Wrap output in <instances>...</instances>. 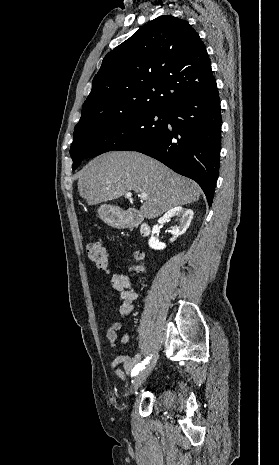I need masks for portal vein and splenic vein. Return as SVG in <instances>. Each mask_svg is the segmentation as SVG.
Listing matches in <instances>:
<instances>
[{
    "mask_svg": "<svg viewBox=\"0 0 279 465\" xmlns=\"http://www.w3.org/2000/svg\"><path fill=\"white\" fill-rule=\"evenodd\" d=\"M127 197H131V193H128V194H127ZM140 198H141L142 200H146V199H147V194H146V193H141Z\"/></svg>",
    "mask_w": 279,
    "mask_h": 465,
    "instance_id": "portal-vein-and-splenic-vein-1",
    "label": "portal vein and splenic vein"
}]
</instances>
